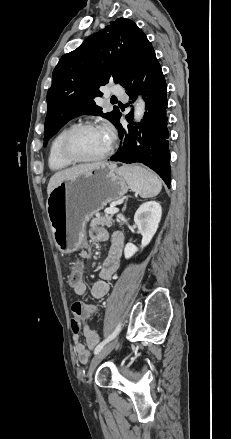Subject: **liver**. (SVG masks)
Here are the masks:
<instances>
[{"label":"liver","instance_id":"liver-1","mask_svg":"<svg viewBox=\"0 0 231 439\" xmlns=\"http://www.w3.org/2000/svg\"><path fill=\"white\" fill-rule=\"evenodd\" d=\"M102 163H89V164H81L77 165L68 169H64L61 171L56 172L49 180L48 186H47V193L48 196L50 193L63 181L70 179L74 176L89 172L99 166Z\"/></svg>","mask_w":231,"mask_h":439}]
</instances>
